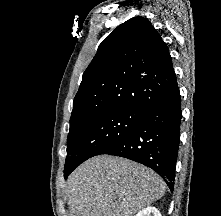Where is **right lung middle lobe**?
<instances>
[{"instance_id":"1","label":"right lung middle lobe","mask_w":221,"mask_h":216,"mask_svg":"<svg viewBox=\"0 0 221 216\" xmlns=\"http://www.w3.org/2000/svg\"><path fill=\"white\" fill-rule=\"evenodd\" d=\"M142 110L122 108L108 111L70 126L64 175L71 166L103 154L137 126Z\"/></svg>"}]
</instances>
